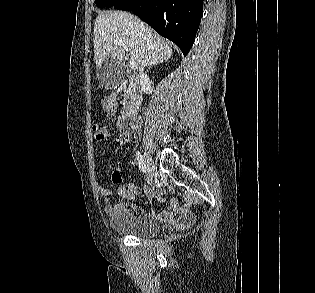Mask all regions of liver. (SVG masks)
Returning <instances> with one entry per match:
<instances>
[{
  "mask_svg": "<svg viewBox=\"0 0 315 293\" xmlns=\"http://www.w3.org/2000/svg\"><path fill=\"white\" fill-rule=\"evenodd\" d=\"M114 41H122L125 44L139 69L168 61L172 56L169 42L130 13L110 11L96 18L93 43L94 57L98 65H101L107 56L119 61L124 59V47L113 45Z\"/></svg>",
  "mask_w": 315,
  "mask_h": 293,
  "instance_id": "liver-1",
  "label": "liver"
}]
</instances>
